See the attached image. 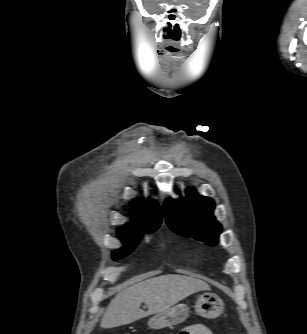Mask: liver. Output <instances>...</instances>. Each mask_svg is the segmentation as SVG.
<instances>
[{
	"label": "liver",
	"mask_w": 307,
	"mask_h": 334,
	"mask_svg": "<svg viewBox=\"0 0 307 334\" xmlns=\"http://www.w3.org/2000/svg\"><path fill=\"white\" fill-rule=\"evenodd\" d=\"M210 286L193 277L166 274L134 284L119 292L105 311L101 326L113 328L171 308L189 295L210 290ZM145 303L148 310L140 309Z\"/></svg>",
	"instance_id": "1"
}]
</instances>
